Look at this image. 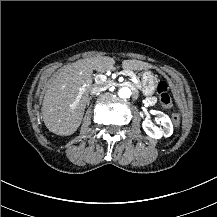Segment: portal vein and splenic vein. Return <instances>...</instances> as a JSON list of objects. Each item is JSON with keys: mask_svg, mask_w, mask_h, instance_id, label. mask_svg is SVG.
<instances>
[{"mask_svg": "<svg viewBox=\"0 0 217 217\" xmlns=\"http://www.w3.org/2000/svg\"><path fill=\"white\" fill-rule=\"evenodd\" d=\"M79 97H80V94H79L78 97L76 98V100H75L73 106H75L76 102H78Z\"/></svg>", "mask_w": 217, "mask_h": 217, "instance_id": "obj_1", "label": "portal vein and splenic vein"}]
</instances>
